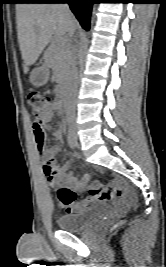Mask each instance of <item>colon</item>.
<instances>
[{
  "mask_svg": "<svg viewBox=\"0 0 166 267\" xmlns=\"http://www.w3.org/2000/svg\"><path fill=\"white\" fill-rule=\"evenodd\" d=\"M28 102L32 108V119L38 125V142L40 145H43L45 136L44 130L40 124L41 118L44 114L55 109L56 102L50 96L44 95L37 91H32L29 93ZM43 169L46 175L50 177H53L56 174V170L50 161H45ZM95 192H103V190ZM57 198L64 205H74L76 201V193L69 188H60L57 192ZM118 225L119 224H116L115 227Z\"/></svg>",
  "mask_w": 166,
  "mask_h": 267,
  "instance_id": "colon-1",
  "label": "colon"
}]
</instances>
